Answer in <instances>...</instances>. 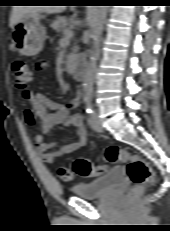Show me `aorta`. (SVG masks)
I'll list each match as a JSON object with an SVG mask.
<instances>
[{
  "instance_id": "obj_1",
  "label": "aorta",
  "mask_w": 170,
  "mask_h": 231,
  "mask_svg": "<svg viewBox=\"0 0 170 231\" xmlns=\"http://www.w3.org/2000/svg\"><path fill=\"white\" fill-rule=\"evenodd\" d=\"M108 12V6H96L94 9V39L90 52L89 63L83 78V84L86 91H92L96 78V64L99 57L101 34L103 24Z\"/></svg>"
}]
</instances>
